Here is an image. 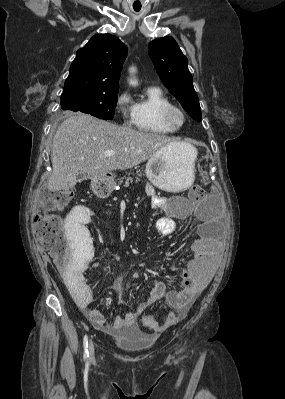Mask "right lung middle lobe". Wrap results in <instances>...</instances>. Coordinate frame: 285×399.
Returning a JSON list of instances; mask_svg holds the SVG:
<instances>
[{
	"label": "right lung middle lobe",
	"mask_w": 285,
	"mask_h": 399,
	"mask_svg": "<svg viewBox=\"0 0 285 399\" xmlns=\"http://www.w3.org/2000/svg\"><path fill=\"white\" fill-rule=\"evenodd\" d=\"M117 92H76L61 95L63 110L80 111L100 119L109 120L114 117L117 104Z\"/></svg>",
	"instance_id": "dd1d6c3e"
}]
</instances>
